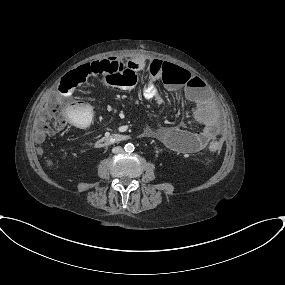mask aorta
<instances>
[{
  "instance_id": "aorta-1",
  "label": "aorta",
  "mask_w": 285,
  "mask_h": 285,
  "mask_svg": "<svg viewBox=\"0 0 285 285\" xmlns=\"http://www.w3.org/2000/svg\"><path fill=\"white\" fill-rule=\"evenodd\" d=\"M124 149L126 152H133L135 147L132 143H127L125 146H124Z\"/></svg>"
}]
</instances>
